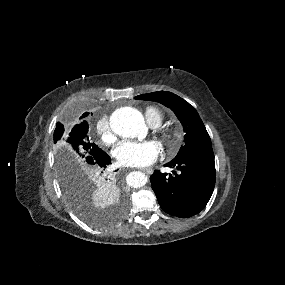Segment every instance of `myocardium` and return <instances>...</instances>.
Masks as SVG:
<instances>
[{
    "label": "myocardium",
    "instance_id": "1",
    "mask_svg": "<svg viewBox=\"0 0 285 285\" xmlns=\"http://www.w3.org/2000/svg\"><path fill=\"white\" fill-rule=\"evenodd\" d=\"M159 137L164 145L170 150L175 151L180 144L182 132L178 127H166L158 130Z\"/></svg>",
    "mask_w": 285,
    "mask_h": 285
}]
</instances>
